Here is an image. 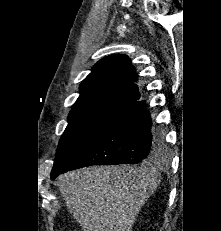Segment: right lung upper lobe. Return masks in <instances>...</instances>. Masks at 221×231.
<instances>
[{"label":"right lung upper lobe","mask_w":221,"mask_h":231,"mask_svg":"<svg viewBox=\"0 0 221 231\" xmlns=\"http://www.w3.org/2000/svg\"><path fill=\"white\" fill-rule=\"evenodd\" d=\"M136 72L126 55H111L96 63L92 72L80 85L76 103L99 97L127 99L131 103L140 98Z\"/></svg>","instance_id":"right-lung-upper-lobe-1"}]
</instances>
